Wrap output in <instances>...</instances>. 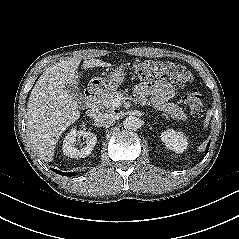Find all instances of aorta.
<instances>
[{
  "label": "aorta",
  "instance_id": "obj_1",
  "mask_svg": "<svg viewBox=\"0 0 239 239\" xmlns=\"http://www.w3.org/2000/svg\"><path fill=\"white\" fill-rule=\"evenodd\" d=\"M126 130L136 131L141 127V120L135 116H129L123 121Z\"/></svg>",
  "mask_w": 239,
  "mask_h": 239
}]
</instances>
